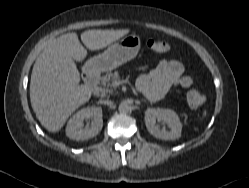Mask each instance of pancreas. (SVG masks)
<instances>
[{"mask_svg": "<svg viewBox=\"0 0 249 188\" xmlns=\"http://www.w3.org/2000/svg\"><path fill=\"white\" fill-rule=\"evenodd\" d=\"M120 76L117 71L106 74L101 78L100 84V93L102 96H106L107 94H112L113 89L115 88L114 82L119 80Z\"/></svg>", "mask_w": 249, "mask_h": 188, "instance_id": "obj_1", "label": "pancreas"}]
</instances>
